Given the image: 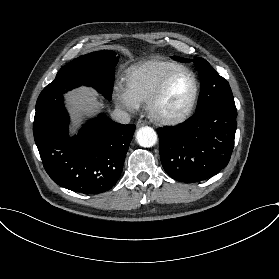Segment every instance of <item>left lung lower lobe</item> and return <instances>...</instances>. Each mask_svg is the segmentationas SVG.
<instances>
[{"label": "left lung lower lobe", "instance_id": "0a47b994", "mask_svg": "<svg viewBox=\"0 0 279 279\" xmlns=\"http://www.w3.org/2000/svg\"><path fill=\"white\" fill-rule=\"evenodd\" d=\"M237 113L211 107L175 127L158 128L160 157L173 179L192 183L225 168L234 148Z\"/></svg>", "mask_w": 279, "mask_h": 279}]
</instances>
